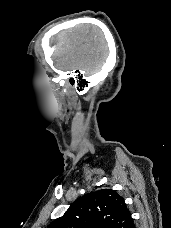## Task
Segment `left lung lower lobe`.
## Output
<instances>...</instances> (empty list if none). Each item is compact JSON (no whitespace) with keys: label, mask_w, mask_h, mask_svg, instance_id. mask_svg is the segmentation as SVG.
<instances>
[{"label":"left lung lower lobe","mask_w":171,"mask_h":228,"mask_svg":"<svg viewBox=\"0 0 171 228\" xmlns=\"http://www.w3.org/2000/svg\"><path fill=\"white\" fill-rule=\"evenodd\" d=\"M124 228H135L133 219L130 218Z\"/></svg>","instance_id":"left-lung-lower-lobe-1"}]
</instances>
